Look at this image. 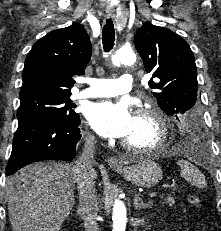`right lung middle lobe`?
<instances>
[{
  "mask_svg": "<svg viewBox=\"0 0 221 231\" xmlns=\"http://www.w3.org/2000/svg\"><path fill=\"white\" fill-rule=\"evenodd\" d=\"M70 96L40 95L22 98L17 113L19 121L38 114H52L62 118L73 119L79 114L73 111Z\"/></svg>",
  "mask_w": 221,
  "mask_h": 231,
  "instance_id": "dd1d6c3e",
  "label": "right lung middle lobe"
}]
</instances>
